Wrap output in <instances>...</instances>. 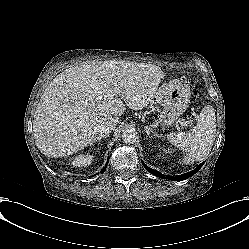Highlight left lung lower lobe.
I'll use <instances>...</instances> for the list:
<instances>
[{
	"label": "left lung lower lobe",
	"instance_id": "left-lung-lower-lobe-1",
	"mask_svg": "<svg viewBox=\"0 0 249 249\" xmlns=\"http://www.w3.org/2000/svg\"><path fill=\"white\" fill-rule=\"evenodd\" d=\"M205 162H203V163H201L195 170H193V171H190V172H188V173H186V174H183V175H179L178 177H177V179H181V180H184V179H187V178H189L190 176H192V175H194L202 166H203V164H204ZM143 166L146 168V170L147 171H149L150 173H152L153 175H155V176H157V177H159V178H169V176H167V175H163V174H161L160 172H158V171H155V170H153V169H151V168H149L147 165H145L144 163H143Z\"/></svg>",
	"mask_w": 249,
	"mask_h": 249
}]
</instances>
